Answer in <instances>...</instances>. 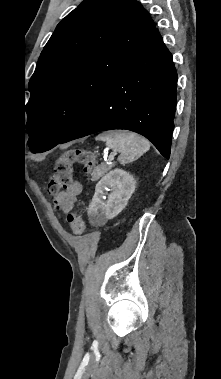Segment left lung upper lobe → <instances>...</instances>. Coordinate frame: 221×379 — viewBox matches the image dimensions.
I'll use <instances>...</instances> for the list:
<instances>
[{"instance_id": "obj_1", "label": "left lung upper lobe", "mask_w": 221, "mask_h": 379, "mask_svg": "<svg viewBox=\"0 0 221 379\" xmlns=\"http://www.w3.org/2000/svg\"><path fill=\"white\" fill-rule=\"evenodd\" d=\"M155 31L135 0H84L56 27L29 81L28 145L56 146Z\"/></svg>"}]
</instances>
